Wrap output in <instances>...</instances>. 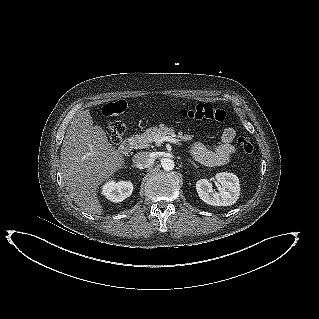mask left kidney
Segmentation results:
<instances>
[{"label":"left kidney","instance_id":"1","mask_svg":"<svg viewBox=\"0 0 319 319\" xmlns=\"http://www.w3.org/2000/svg\"><path fill=\"white\" fill-rule=\"evenodd\" d=\"M220 185L218 191H213L212 183L207 179L196 182L199 197L205 203L213 206H230L236 203L240 195L239 179L235 174L222 172L215 175Z\"/></svg>","mask_w":319,"mask_h":319}]
</instances>
